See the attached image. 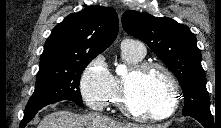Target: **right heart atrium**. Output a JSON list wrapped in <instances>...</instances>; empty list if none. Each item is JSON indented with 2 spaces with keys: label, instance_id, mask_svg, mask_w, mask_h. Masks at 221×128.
Masks as SVG:
<instances>
[{
  "label": "right heart atrium",
  "instance_id": "right-heart-atrium-1",
  "mask_svg": "<svg viewBox=\"0 0 221 128\" xmlns=\"http://www.w3.org/2000/svg\"><path fill=\"white\" fill-rule=\"evenodd\" d=\"M80 93L86 105L93 111L106 109V98L114 90L113 77L102 55L93 57L80 77Z\"/></svg>",
  "mask_w": 221,
  "mask_h": 128
}]
</instances>
